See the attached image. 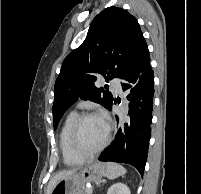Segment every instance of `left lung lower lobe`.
I'll list each match as a JSON object with an SVG mask.
<instances>
[{
	"instance_id": "obj_1",
	"label": "left lung lower lobe",
	"mask_w": 201,
	"mask_h": 194,
	"mask_svg": "<svg viewBox=\"0 0 201 194\" xmlns=\"http://www.w3.org/2000/svg\"><path fill=\"white\" fill-rule=\"evenodd\" d=\"M122 79L125 81L123 91H129L130 121L125 124L123 132L119 129L116 139L99 160L130 164L143 175L151 138L154 95V75L145 39Z\"/></svg>"
}]
</instances>
